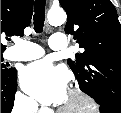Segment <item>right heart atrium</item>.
<instances>
[{"instance_id":"right-heart-atrium-1","label":"right heart atrium","mask_w":121,"mask_h":113,"mask_svg":"<svg viewBox=\"0 0 121 113\" xmlns=\"http://www.w3.org/2000/svg\"><path fill=\"white\" fill-rule=\"evenodd\" d=\"M18 105H19V109H24V110L35 109L34 102L22 94L18 96Z\"/></svg>"}]
</instances>
